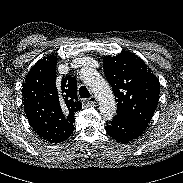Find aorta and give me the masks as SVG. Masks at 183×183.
<instances>
[{
  "label": "aorta",
  "mask_w": 183,
  "mask_h": 183,
  "mask_svg": "<svg viewBox=\"0 0 183 183\" xmlns=\"http://www.w3.org/2000/svg\"><path fill=\"white\" fill-rule=\"evenodd\" d=\"M84 83L99 99V109L105 120H111L116 114V101L107 81L95 70L81 69Z\"/></svg>",
  "instance_id": "aorta-1"
}]
</instances>
